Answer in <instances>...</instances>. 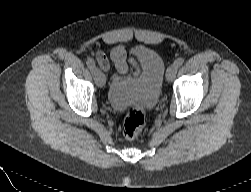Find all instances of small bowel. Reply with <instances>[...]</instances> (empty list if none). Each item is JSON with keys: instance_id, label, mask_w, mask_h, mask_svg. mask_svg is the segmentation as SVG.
<instances>
[{"instance_id": "c3829d8e", "label": "small bowel", "mask_w": 251, "mask_h": 192, "mask_svg": "<svg viewBox=\"0 0 251 192\" xmlns=\"http://www.w3.org/2000/svg\"><path fill=\"white\" fill-rule=\"evenodd\" d=\"M110 58L115 65L116 70L121 74L125 75L128 71V65H131L134 70V75H139L140 68L137 61L134 58H127L126 51L123 46L118 45L113 48L111 51ZM96 59L99 65L104 70H108L110 67V63L108 58L102 53L98 52L96 54Z\"/></svg>"}]
</instances>
